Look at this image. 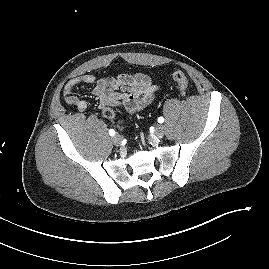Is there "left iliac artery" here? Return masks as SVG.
Listing matches in <instances>:
<instances>
[{
    "mask_svg": "<svg viewBox=\"0 0 269 269\" xmlns=\"http://www.w3.org/2000/svg\"><path fill=\"white\" fill-rule=\"evenodd\" d=\"M158 122H159V123H163V122H164V118H163V117H159V118H158Z\"/></svg>",
    "mask_w": 269,
    "mask_h": 269,
    "instance_id": "44dca946",
    "label": "left iliac artery"
}]
</instances>
